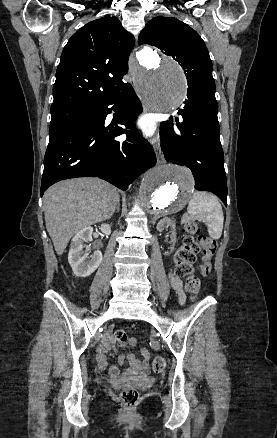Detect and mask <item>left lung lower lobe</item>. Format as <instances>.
<instances>
[{
    "label": "left lung lower lobe",
    "mask_w": 277,
    "mask_h": 438,
    "mask_svg": "<svg viewBox=\"0 0 277 438\" xmlns=\"http://www.w3.org/2000/svg\"><path fill=\"white\" fill-rule=\"evenodd\" d=\"M218 103L215 97L191 98L160 126L161 147L167 162L186 165L195 178V189L216 194L227 206V181L220 143ZM181 121V123H180Z\"/></svg>",
    "instance_id": "0a47b994"
}]
</instances>
